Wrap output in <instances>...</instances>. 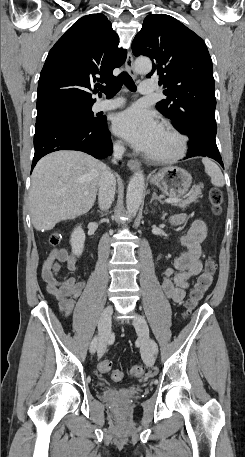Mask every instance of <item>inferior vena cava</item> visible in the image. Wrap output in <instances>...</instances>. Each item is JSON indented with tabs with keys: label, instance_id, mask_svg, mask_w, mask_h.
I'll list each match as a JSON object with an SVG mask.
<instances>
[{
	"label": "inferior vena cava",
	"instance_id": "1",
	"mask_svg": "<svg viewBox=\"0 0 245 457\" xmlns=\"http://www.w3.org/2000/svg\"><path fill=\"white\" fill-rule=\"evenodd\" d=\"M124 150H126L125 146L121 144V142H115L114 144V158L113 162H116L118 158H122V154H124ZM115 176L111 174V172H104L99 180V206L101 210H107L109 208L112 200H114L115 194Z\"/></svg>",
	"mask_w": 245,
	"mask_h": 457
}]
</instances>
